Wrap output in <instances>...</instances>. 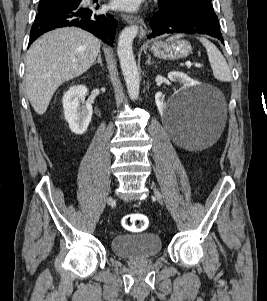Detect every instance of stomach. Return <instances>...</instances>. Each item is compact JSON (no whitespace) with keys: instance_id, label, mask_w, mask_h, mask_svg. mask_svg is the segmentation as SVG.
<instances>
[{"instance_id":"obj_1","label":"stomach","mask_w":267,"mask_h":301,"mask_svg":"<svg viewBox=\"0 0 267 301\" xmlns=\"http://www.w3.org/2000/svg\"><path fill=\"white\" fill-rule=\"evenodd\" d=\"M150 50L156 57L175 60L187 57L191 53V45L185 40H170L154 42Z\"/></svg>"}]
</instances>
